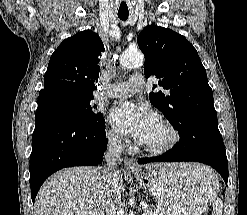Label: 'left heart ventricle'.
Returning a JSON list of instances; mask_svg holds the SVG:
<instances>
[{"instance_id":"1","label":"left heart ventricle","mask_w":247,"mask_h":215,"mask_svg":"<svg viewBox=\"0 0 247 215\" xmlns=\"http://www.w3.org/2000/svg\"><path fill=\"white\" fill-rule=\"evenodd\" d=\"M166 139V131L157 123L143 144L156 146L164 143Z\"/></svg>"}]
</instances>
